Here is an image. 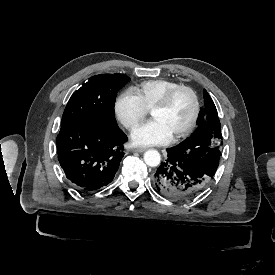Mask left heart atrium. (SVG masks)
Instances as JSON below:
<instances>
[{
	"label": "left heart atrium",
	"instance_id": "obj_1",
	"mask_svg": "<svg viewBox=\"0 0 275 275\" xmlns=\"http://www.w3.org/2000/svg\"><path fill=\"white\" fill-rule=\"evenodd\" d=\"M170 134L156 120H151L137 127L131 134V140L137 146H150L167 142Z\"/></svg>",
	"mask_w": 275,
	"mask_h": 275
}]
</instances>
